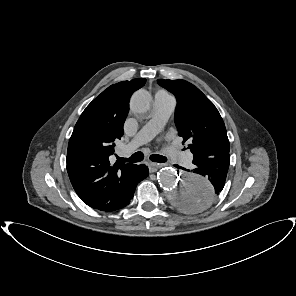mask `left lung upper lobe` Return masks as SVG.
I'll return each mask as SVG.
<instances>
[{
    "label": "left lung upper lobe",
    "mask_w": 296,
    "mask_h": 296,
    "mask_svg": "<svg viewBox=\"0 0 296 296\" xmlns=\"http://www.w3.org/2000/svg\"><path fill=\"white\" fill-rule=\"evenodd\" d=\"M157 82L177 99L175 124L178 135L184 142L189 141L193 160L229 156L226 128L214 104L198 88L184 80L158 79ZM180 206L186 209L183 201Z\"/></svg>",
    "instance_id": "obj_1"
}]
</instances>
